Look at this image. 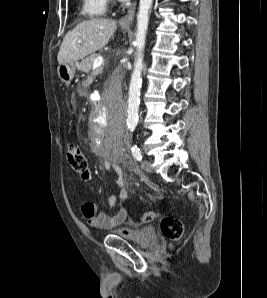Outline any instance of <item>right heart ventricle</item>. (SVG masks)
I'll return each mask as SVG.
<instances>
[{"mask_svg": "<svg viewBox=\"0 0 267 298\" xmlns=\"http://www.w3.org/2000/svg\"><path fill=\"white\" fill-rule=\"evenodd\" d=\"M107 0H81L80 13L83 17L101 18L106 13Z\"/></svg>", "mask_w": 267, "mask_h": 298, "instance_id": "e07e8e85", "label": "right heart ventricle"}]
</instances>
